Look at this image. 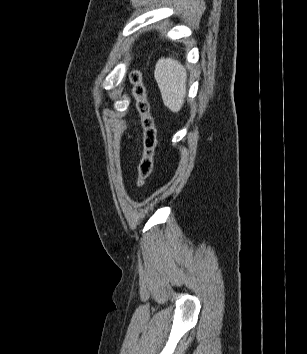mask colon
<instances>
[{"instance_id": "5ec220e1", "label": "colon", "mask_w": 307, "mask_h": 354, "mask_svg": "<svg viewBox=\"0 0 307 354\" xmlns=\"http://www.w3.org/2000/svg\"><path fill=\"white\" fill-rule=\"evenodd\" d=\"M132 93L136 100V108L143 129V155L138 165L137 186L143 187L154 168V156L158 144L157 129L151 113V102L140 70L133 69L130 73Z\"/></svg>"}]
</instances>
